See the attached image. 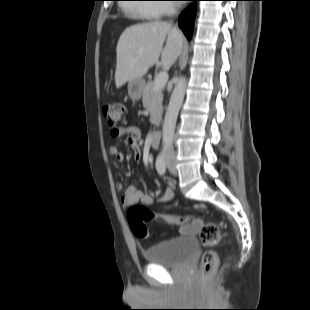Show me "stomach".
Segmentation results:
<instances>
[{"instance_id": "obj_1", "label": "stomach", "mask_w": 310, "mask_h": 310, "mask_svg": "<svg viewBox=\"0 0 310 310\" xmlns=\"http://www.w3.org/2000/svg\"><path fill=\"white\" fill-rule=\"evenodd\" d=\"M128 95L133 100H139L144 89V81L142 79H134L128 81Z\"/></svg>"}]
</instances>
